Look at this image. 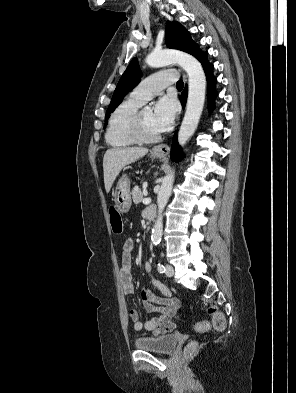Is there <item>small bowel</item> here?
Instances as JSON below:
<instances>
[{"instance_id": "c3829d8e", "label": "small bowel", "mask_w": 296, "mask_h": 393, "mask_svg": "<svg viewBox=\"0 0 296 393\" xmlns=\"http://www.w3.org/2000/svg\"><path fill=\"white\" fill-rule=\"evenodd\" d=\"M134 242L128 238L122 247V260L119 270L120 281L123 292L127 295L134 294L133 271H132V254ZM145 271L149 274L153 271L150 262L145 264ZM151 284L157 288L164 297H158L155 294L143 289L141 292V305L144 311L148 313H156L157 316L146 322L140 320V312L138 309H131L129 316L133 322L134 329L138 332L148 331L154 335H163L175 330L176 326L171 321L173 315L179 308V299L172 296L170 289L159 280L151 277Z\"/></svg>"}]
</instances>
